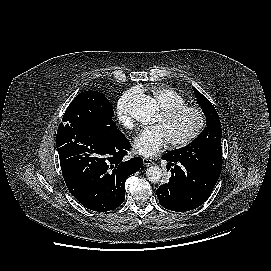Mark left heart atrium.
<instances>
[{"instance_id":"obj_1","label":"left heart atrium","mask_w":271,"mask_h":271,"mask_svg":"<svg viewBox=\"0 0 271 271\" xmlns=\"http://www.w3.org/2000/svg\"><path fill=\"white\" fill-rule=\"evenodd\" d=\"M168 135L162 125L142 130L134 140V150L145 157H153L161 153L169 143Z\"/></svg>"}]
</instances>
